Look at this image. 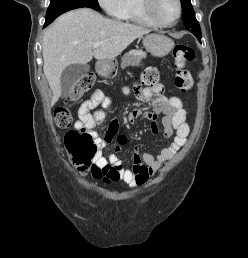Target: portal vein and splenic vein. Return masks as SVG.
Wrapping results in <instances>:
<instances>
[{
  "label": "portal vein and splenic vein",
  "mask_w": 248,
  "mask_h": 258,
  "mask_svg": "<svg viewBox=\"0 0 248 258\" xmlns=\"http://www.w3.org/2000/svg\"><path fill=\"white\" fill-rule=\"evenodd\" d=\"M92 47H93L94 49H96V48L100 47V43H94V44L92 45Z\"/></svg>",
  "instance_id": "1"
}]
</instances>
